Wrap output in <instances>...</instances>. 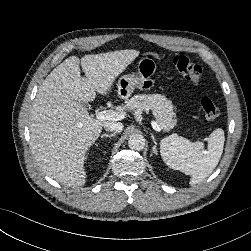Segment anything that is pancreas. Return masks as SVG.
I'll return each mask as SVG.
<instances>
[{"instance_id":"obj_1","label":"pancreas","mask_w":251,"mask_h":251,"mask_svg":"<svg viewBox=\"0 0 251 251\" xmlns=\"http://www.w3.org/2000/svg\"><path fill=\"white\" fill-rule=\"evenodd\" d=\"M127 111L142 110L152 111L157 123L164 131H170L177 123L173 104L165 96L160 94H138L126 101Z\"/></svg>"}]
</instances>
